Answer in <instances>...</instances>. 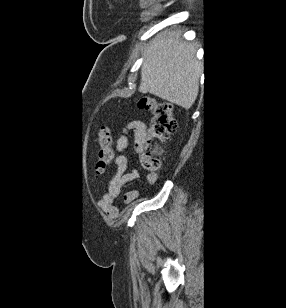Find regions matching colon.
Wrapping results in <instances>:
<instances>
[{"mask_svg":"<svg viewBox=\"0 0 286 308\" xmlns=\"http://www.w3.org/2000/svg\"><path fill=\"white\" fill-rule=\"evenodd\" d=\"M138 106L151 114L150 125L141 147V161L145 170L151 173L158 171L163 144L176 131L177 123L172 117V104L154 97L139 99ZM99 149L95 171L102 174L114 158L113 136L108 126H102L98 134Z\"/></svg>","mask_w":286,"mask_h":308,"instance_id":"1","label":"colon"}]
</instances>
